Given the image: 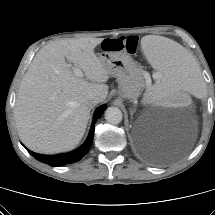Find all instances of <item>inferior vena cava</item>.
Returning <instances> with one entry per match:
<instances>
[{"mask_svg": "<svg viewBox=\"0 0 215 215\" xmlns=\"http://www.w3.org/2000/svg\"><path fill=\"white\" fill-rule=\"evenodd\" d=\"M99 102H101L100 97L94 96V97H92V98L88 101V106H89L90 108H93V107H95Z\"/></svg>", "mask_w": 215, "mask_h": 215, "instance_id": "602c4592", "label": "inferior vena cava"}]
</instances>
